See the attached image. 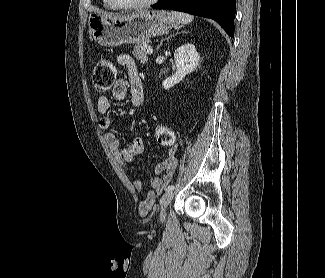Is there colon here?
<instances>
[{
    "label": "colon",
    "mask_w": 325,
    "mask_h": 278,
    "mask_svg": "<svg viewBox=\"0 0 325 278\" xmlns=\"http://www.w3.org/2000/svg\"><path fill=\"white\" fill-rule=\"evenodd\" d=\"M115 81V68L113 64L106 60L100 59L97 61L94 67L92 84L93 87L99 92H106L113 86ZM155 137L160 144L165 146H170L174 143V133L173 131L164 126L157 125L155 127ZM149 209V204L142 207L143 212H147Z\"/></svg>",
    "instance_id": "colon-1"
}]
</instances>
